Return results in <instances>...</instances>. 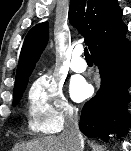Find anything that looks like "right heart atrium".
<instances>
[{"label": "right heart atrium", "instance_id": "d8ad5b80", "mask_svg": "<svg viewBox=\"0 0 131 151\" xmlns=\"http://www.w3.org/2000/svg\"><path fill=\"white\" fill-rule=\"evenodd\" d=\"M30 126L41 134H55L75 115L63 85L50 75L39 76L28 92Z\"/></svg>", "mask_w": 131, "mask_h": 151}]
</instances>
